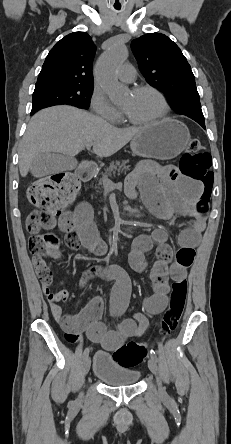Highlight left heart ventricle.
Returning <instances> with one entry per match:
<instances>
[{"label":"left heart ventricle","mask_w":231,"mask_h":444,"mask_svg":"<svg viewBox=\"0 0 231 444\" xmlns=\"http://www.w3.org/2000/svg\"><path fill=\"white\" fill-rule=\"evenodd\" d=\"M123 111L133 120L144 121L158 116L163 109L162 102L152 92L128 93L122 103Z\"/></svg>","instance_id":"obj_1"}]
</instances>
